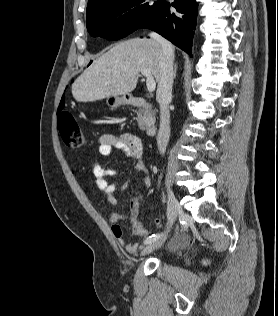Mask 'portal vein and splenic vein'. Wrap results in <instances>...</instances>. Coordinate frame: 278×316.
<instances>
[{
    "instance_id": "portal-vein-and-splenic-vein-1",
    "label": "portal vein and splenic vein",
    "mask_w": 278,
    "mask_h": 316,
    "mask_svg": "<svg viewBox=\"0 0 278 316\" xmlns=\"http://www.w3.org/2000/svg\"><path fill=\"white\" fill-rule=\"evenodd\" d=\"M141 74L147 78L146 85H147L148 91L153 92L156 88V83H155V80L151 74V71L149 69H142Z\"/></svg>"
}]
</instances>
